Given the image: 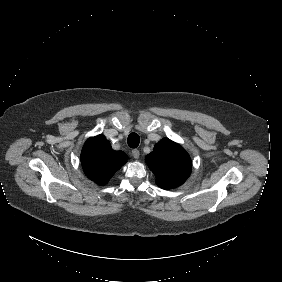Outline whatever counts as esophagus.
<instances>
[{
	"label": "esophagus",
	"mask_w": 282,
	"mask_h": 282,
	"mask_svg": "<svg viewBox=\"0 0 282 282\" xmlns=\"http://www.w3.org/2000/svg\"><path fill=\"white\" fill-rule=\"evenodd\" d=\"M132 156H133L135 159H138V158L140 157V152H139V150H137V149L132 150Z\"/></svg>",
	"instance_id": "34e87169"
}]
</instances>
